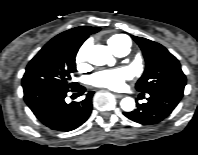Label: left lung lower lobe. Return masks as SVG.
Wrapping results in <instances>:
<instances>
[{"label":"left lung lower lobe","mask_w":198,"mask_h":155,"mask_svg":"<svg viewBox=\"0 0 198 155\" xmlns=\"http://www.w3.org/2000/svg\"><path fill=\"white\" fill-rule=\"evenodd\" d=\"M147 103L137 104V109L123 114L140 124L152 125L164 120L178 105L183 96L179 90L161 89L149 93Z\"/></svg>","instance_id":"0a47b994"}]
</instances>
